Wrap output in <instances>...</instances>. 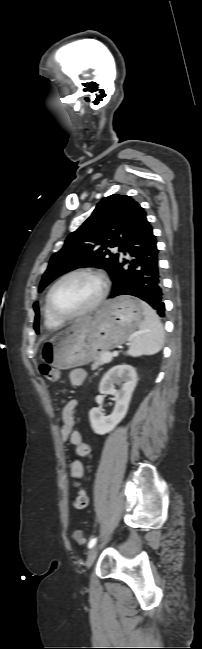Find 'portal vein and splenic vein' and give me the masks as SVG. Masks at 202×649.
I'll use <instances>...</instances> for the list:
<instances>
[{
    "mask_svg": "<svg viewBox=\"0 0 202 649\" xmlns=\"http://www.w3.org/2000/svg\"><path fill=\"white\" fill-rule=\"evenodd\" d=\"M101 359L104 363H108L112 359V354L109 352H105L101 354Z\"/></svg>",
    "mask_w": 202,
    "mask_h": 649,
    "instance_id": "18ae733b",
    "label": "portal vein and splenic vein"
}]
</instances>
